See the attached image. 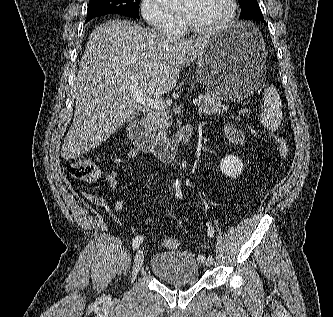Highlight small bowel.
Returning <instances> with one entry per match:
<instances>
[{"label": "small bowel", "instance_id": "c3829d8e", "mask_svg": "<svg viewBox=\"0 0 333 317\" xmlns=\"http://www.w3.org/2000/svg\"><path fill=\"white\" fill-rule=\"evenodd\" d=\"M226 135L227 139L231 144L237 145L241 144L244 141V135L241 132L240 129H238L236 126L228 125L226 127ZM105 179L108 183V186L111 190H116L117 188V182H116V175L114 171H107L105 174ZM87 198L95 205L103 208L107 212L115 211L117 214V217H120L123 211L124 206V198L120 197L112 206L110 203H108L104 198L99 197L97 195L88 194Z\"/></svg>", "mask_w": 333, "mask_h": 317}]
</instances>
